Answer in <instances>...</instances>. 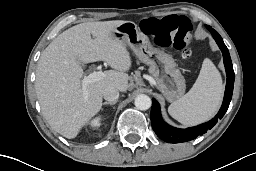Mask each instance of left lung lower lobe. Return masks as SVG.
Here are the masks:
<instances>
[{
    "instance_id": "1",
    "label": "left lung lower lobe",
    "mask_w": 256,
    "mask_h": 171,
    "mask_svg": "<svg viewBox=\"0 0 256 171\" xmlns=\"http://www.w3.org/2000/svg\"><path fill=\"white\" fill-rule=\"evenodd\" d=\"M206 27L212 33L213 38L217 42L223 54V60L227 74L224 100L218 114L209 122L187 129H179L168 125L162 120L160 105L155 99H152V109L150 115L152 128L159 138L168 143H181L190 141L195 139L197 136L206 133L208 129H211L217 123V121L224 116L232 98L234 86V70L229 51L219 33L208 25Z\"/></svg>"
}]
</instances>
